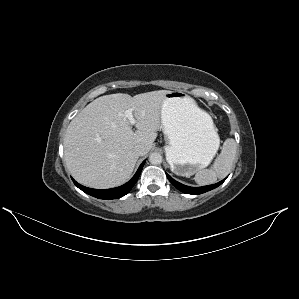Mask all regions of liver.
Here are the masks:
<instances>
[{
	"label": "liver",
	"mask_w": 299,
	"mask_h": 299,
	"mask_svg": "<svg viewBox=\"0 0 299 299\" xmlns=\"http://www.w3.org/2000/svg\"><path fill=\"white\" fill-rule=\"evenodd\" d=\"M167 90L135 96L116 93L89 103L70 122L64 137V160L79 183L96 189L124 184L131 176L143 145L148 153L161 128V107ZM132 109L134 132L124 116ZM145 153V154H146Z\"/></svg>",
	"instance_id": "obj_1"
}]
</instances>
